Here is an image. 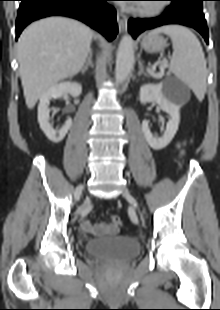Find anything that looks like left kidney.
<instances>
[{
	"label": "left kidney",
	"mask_w": 220,
	"mask_h": 310,
	"mask_svg": "<svg viewBox=\"0 0 220 310\" xmlns=\"http://www.w3.org/2000/svg\"><path fill=\"white\" fill-rule=\"evenodd\" d=\"M139 97L141 103L155 101L170 116L162 137H156L151 133L147 120L142 122V131L148 144L155 150L163 149L172 141L178 130L181 104L176 96L170 91H164L160 84L143 85L140 88Z\"/></svg>",
	"instance_id": "1"
}]
</instances>
